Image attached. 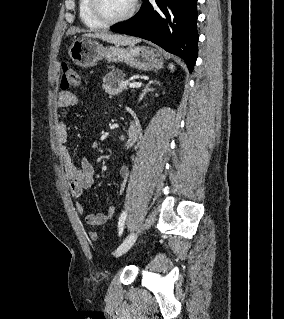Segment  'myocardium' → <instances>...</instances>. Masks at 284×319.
<instances>
[{
  "label": "myocardium",
  "instance_id": "f54148a6",
  "mask_svg": "<svg viewBox=\"0 0 284 319\" xmlns=\"http://www.w3.org/2000/svg\"><path fill=\"white\" fill-rule=\"evenodd\" d=\"M137 6H138V0H132L129 9L124 14L115 18H110V17H107L102 11L100 0H90V10L93 16L105 26L114 25V24L127 21L134 15L137 9Z\"/></svg>",
  "mask_w": 284,
  "mask_h": 319
}]
</instances>
